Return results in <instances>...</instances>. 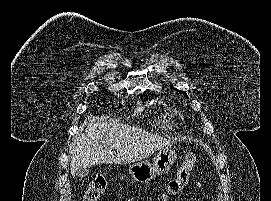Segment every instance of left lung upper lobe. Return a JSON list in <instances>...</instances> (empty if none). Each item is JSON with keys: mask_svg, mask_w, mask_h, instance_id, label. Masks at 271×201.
<instances>
[{"mask_svg": "<svg viewBox=\"0 0 271 201\" xmlns=\"http://www.w3.org/2000/svg\"><path fill=\"white\" fill-rule=\"evenodd\" d=\"M176 90H177V89H176ZM177 91L182 92V93H185L184 91H180V90H177ZM185 95H187V94L185 93Z\"/></svg>", "mask_w": 271, "mask_h": 201, "instance_id": "5c2ea615", "label": "left lung upper lobe"}]
</instances>
